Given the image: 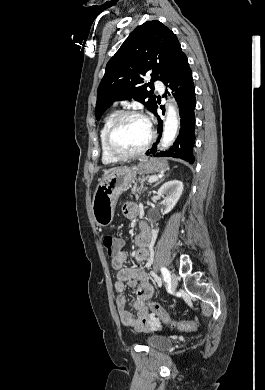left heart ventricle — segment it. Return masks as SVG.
Listing matches in <instances>:
<instances>
[{
    "mask_svg": "<svg viewBox=\"0 0 265 390\" xmlns=\"http://www.w3.org/2000/svg\"><path fill=\"white\" fill-rule=\"evenodd\" d=\"M149 129L145 121L130 117L125 119L114 133V144L122 152L139 150L147 142Z\"/></svg>",
    "mask_w": 265,
    "mask_h": 390,
    "instance_id": "b2bd125f",
    "label": "left heart ventricle"
}]
</instances>
